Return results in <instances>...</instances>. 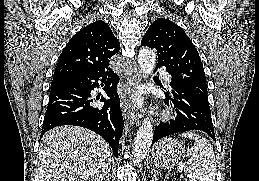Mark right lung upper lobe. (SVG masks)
Wrapping results in <instances>:
<instances>
[{
    "label": "right lung upper lobe",
    "instance_id": "1",
    "mask_svg": "<svg viewBox=\"0 0 259 181\" xmlns=\"http://www.w3.org/2000/svg\"><path fill=\"white\" fill-rule=\"evenodd\" d=\"M119 49V41L104 21L87 25L70 39L62 51L52 84L74 75L108 68L110 58Z\"/></svg>",
    "mask_w": 259,
    "mask_h": 181
}]
</instances>
